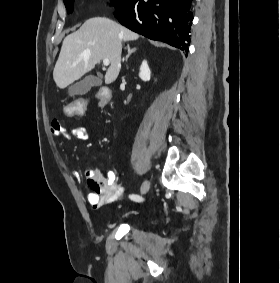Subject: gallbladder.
Instances as JSON below:
<instances>
[{
  "label": "gallbladder",
  "mask_w": 280,
  "mask_h": 283,
  "mask_svg": "<svg viewBox=\"0 0 280 283\" xmlns=\"http://www.w3.org/2000/svg\"><path fill=\"white\" fill-rule=\"evenodd\" d=\"M102 85V76L88 75L83 80L71 85L68 89L69 96L85 95L92 87Z\"/></svg>",
  "instance_id": "gallbladder-1"
}]
</instances>
